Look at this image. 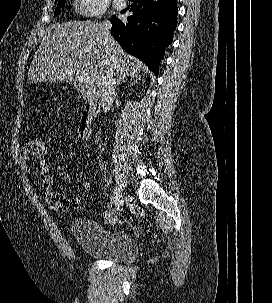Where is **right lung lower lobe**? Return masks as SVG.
Instances as JSON below:
<instances>
[{"label":"right lung lower lobe","mask_w":272,"mask_h":303,"mask_svg":"<svg viewBox=\"0 0 272 303\" xmlns=\"http://www.w3.org/2000/svg\"><path fill=\"white\" fill-rule=\"evenodd\" d=\"M127 11L133 12L127 21L111 20V34L125 51L158 75L159 63L177 25L176 0H136L121 13Z\"/></svg>","instance_id":"right-lung-lower-lobe-1"}]
</instances>
